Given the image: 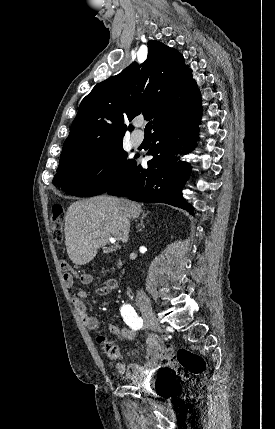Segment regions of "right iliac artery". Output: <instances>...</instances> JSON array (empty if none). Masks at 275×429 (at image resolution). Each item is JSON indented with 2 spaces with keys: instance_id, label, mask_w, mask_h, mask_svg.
I'll return each instance as SVG.
<instances>
[{
  "instance_id": "obj_1",
  "label": "right iliac artery",
  "mask_w": 275,
  "mask_h": 429,
  "mask_svg": "<svg viewBox=\"0 0 275 429\" xmlns=\"http://www.w3.org/2000/svg\"><path fill=\"white\" fill-rule=\"evenodd\" d=\"M121 315L125 321V323L132 329L138 330L141 329L143 326V320L141 317L137 315L134 308L129 305L125 304L121 307Z\"/></svg>"
}]
</instances>
